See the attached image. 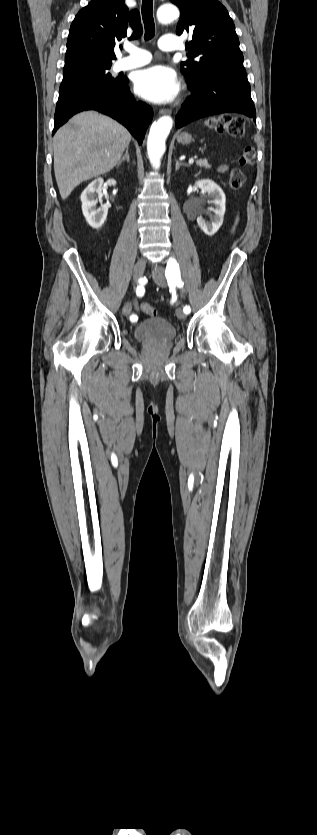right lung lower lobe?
<instances>
[{"label":"right lung lower lobe","instance_id":"right-lung-lower-lobe-1","mask_svg":"<svg viewBox=\"0 0 317 835\" xmlns=\"http://www.w3.org/2000/svg\"><path fill=\"white\" fill-rule=\"evenodd\" d=\"M127 83L128 79L123 78L120 82L91 83L61 92L52 135L74 114L94 109L123 124L141 144L153 118V110L134 99Z\"/></svg>","mask_w":317,"mask_h":835}]
</instances>
